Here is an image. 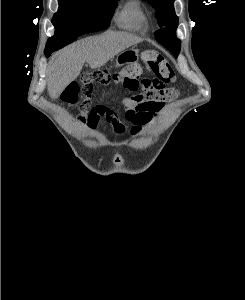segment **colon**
Masks as SVG:
<instances>
[{
    "label": "colon",
    "instance_id": "colon-1",
    "mask_svg": "<svg viewBox=\"0 0 245 300\" xmlns=\"http://www.w3.org/2000/svg\"><path fill=\"white\" fill-rule=\"evenodd\" d=\"M142 61L146 69L154 74L150 85L156 98L173 100L178 97L176 88L168 87L176 81V74L167 59L156 50H148L142 54ZM143 67L140 64H130L117 71L98 69L81 77V83L70 84L63 93V100L74 105L78 102L80 94H90L97 85L114 83L121 85L129 91H134L141 80Z\"/></svg>",
    "mask_w": 245,
    "mask_h": 300
}]
</instances>
